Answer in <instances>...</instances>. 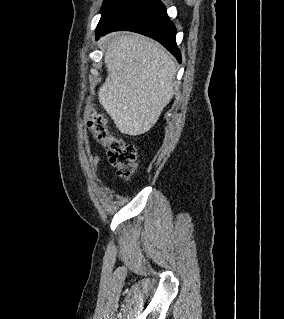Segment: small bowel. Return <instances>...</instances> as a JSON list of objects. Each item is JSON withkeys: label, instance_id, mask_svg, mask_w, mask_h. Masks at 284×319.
Returning <instances> with one entry per match:
<instances>
[{"label": "small bowel", "instance_id": "small-bowel-1", "mask_svg": "<svg viewBox=\"0 0 284 319\" xmlns=\"http://www.w3.org/2000/svg\"><path fill=\"white\" fill-rule=\"evenodd\" d=\"M92 160L95 165H97L99 162V158L97 156H92Z\"/></svg>", "mask_w": 284, "mask_h": 319}]
</instances>
